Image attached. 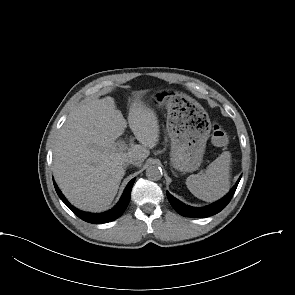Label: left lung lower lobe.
<instances>
[{
	"mask_svg": "<svg viewBox=\"0 0 295 295\" xmlns=\"http://www.w3.org/2000/svg\"><path fill=\"white\" fill-rule=\"evenodd\" d=\"M239 181H240V178L237 181V183L235 184V186L231 189V191L225 197H223L221 200H219L209 206L202 207V208H195V207L185 205L182 202H180L179 200H177L176 198H174L169 192H167V197H168L169 202L173 206V208L180 215L185 216V217L205 218V217H209V216L219 213L221 210H223L226 207V205L230 202V200H231V198L238 186Z\"/></svg>",
	"mask_w": 295,
	"mask_h": 295,
	"instance_id": "1",
	"label": "left lung lower lobe"
}]
</instances>
